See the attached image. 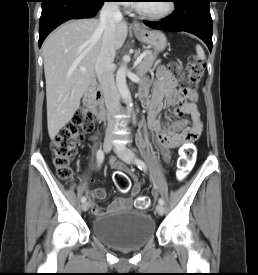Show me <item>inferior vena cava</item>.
Wrapping results in <instances>:
<instances>
[{"label":"inferior vena cava","instance_id":"inferior-vena-cava-1","mask_svg":"<svg viewBox=\"0 0 258 275\" xmlns=\"http://www.w3.org/2000/svg\"><path fill=\"white\" fill-rule=\"evenodd\" d=\"M122 13L114 2H106L100 12L99 27L103 29L100 53L95 63L100 88L104 96L108 125L106 135H112L116 121L114 115L120 106V99L114 82L112 64L115 58V31L118 23L122 22Z\"/></svg>","mask_w":258,"mask_h":275}]
</instances>
